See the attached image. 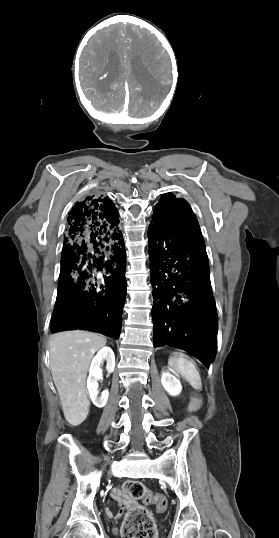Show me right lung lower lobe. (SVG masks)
Listing matches in <instances>:
<instances>
[{"label":"right lung lower lobe","instance_id":"98d812e1","mask_svg":"<svg viewBox=\"0 0 279 538\" xmlns=\"http://www.w3.org/2000/svg\"><path fill=\"white\" fill-rule=\"evenodd\" d=\"M119 214L103 196L76 202L67 217L51 333L82 329L117 338L126 298Z\"/></svg>","mask_w":279,"mask_h":538}]
</instances>
